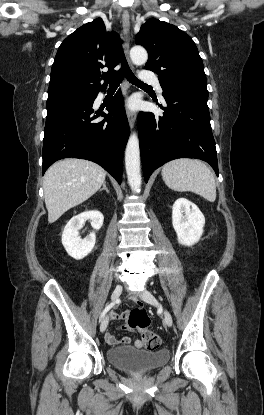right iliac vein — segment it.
<instances>
[{
	"label": "right iliac vein",
	"mask_w": 264,
	"mask_h": 415,
	"mask_svg": "<svg viewBox=\"0 0 264 415\" xmlns=\"http://www.w3.org/2000/svg\"><path fill=\"white\" fill-rule=\"evenodd\" d=\"M122 290H123V288H122L121 285H117L116 286V288L114 289V291L112 293V300L113 301L116 300V299H118L120 297V295L122 293ZM108 321H109L108 316H106L103 319V321L101 322V325H100V331L101 332H104L106 330V328L108 326Z\"/></svg>",
	"instance_id": "1"
}]
</instances>
